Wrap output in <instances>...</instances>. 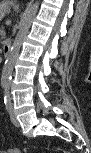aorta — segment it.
<instances>
[{"label":"aorta","instance_id":"762f6f07","mask_svg":"<svg viewBox=\"0 0 91 153\" xmlns=\"http://www.w3.org/2000/svg\"><path fill=\"white\" fill-rule=\"evenodd\" d=\"M38 8L39 1H35L33 4H30L25 11L22 23L20 25V29L17 33V36L15 37V40L11 46L10 52L3 66L1 84L5 87L10 85L12 71L19 55L22 42L31 27V24L37 14Z\"/></svg>","mask_w":91,"mask_h":153}]
</instances>
